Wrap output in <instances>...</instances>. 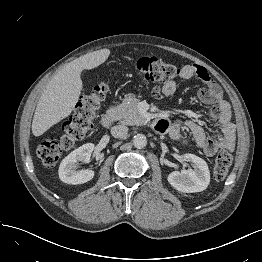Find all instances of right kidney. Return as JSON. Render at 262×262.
<instances>
[{
  "mask_svg": "<svg viewBox=\"0 0 262 262\" xmlns=\"http://www.w3.org/2000/svg\"><path fill=\"white\" fill-rule=\"evenodd\" d=\"M94 150V144L87 143L71 152L65 157L59 167V178L64 183L82 184L90 181L94 177L93 170H76L78 162L87 163Z\"/></svg>",
  "mask_w": 262,
  "mask_h": 262,
  "instance_id": "1",
  "label": "right kidney"
}]
</instances>
